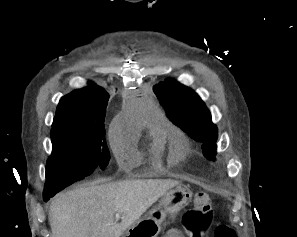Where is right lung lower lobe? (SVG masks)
<instances>
[{"label": "right lung lower lobe", "mask_w": 297, "mask_h": 237, "mask_svg": "<svg viewBox=\"0 0 297 237\" xmlns=\"http://www.w3.org/2000/svg\"><path fill=\"white\" fill-rule=\"evenodd\" d=\"M54 196V195H53ZM52 197L51 195H43V199L44 201L49 200V198Z\"/></svg>", "instance_id": "obj_1"}]
</instances>
